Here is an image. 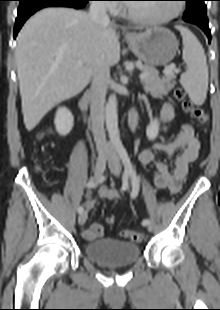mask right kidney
Masks as SVG:
<instances>
[{
    "instance_id": "ca27d5eb",
    "label": "right kidney",
    "mask_w": 220,
    "mask_h": 310,
    "mask_svg": "<svg viewBox=\"0 0 220 310\" xmlns=\"http://www.w3.org/2000/svg\"><path fill=\"white\" fill-rule=\"evenodd\" d=\"M55 128L61 136H66L73 127V115L66 107H59L55 115Z\"/></svg>"
}]
</instances>
